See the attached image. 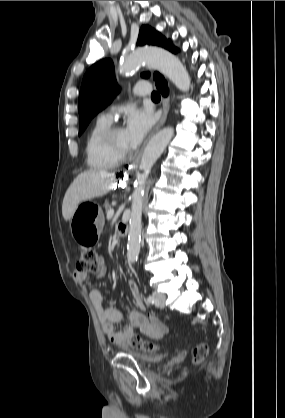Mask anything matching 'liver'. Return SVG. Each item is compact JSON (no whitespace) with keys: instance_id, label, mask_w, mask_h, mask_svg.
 I'll return each instance as SVG.
<instances>
[{"instance_id":"liver-1","label":"liver","mask_w":285,"mask_h":418,"mask_svg":"<svg viewBox=\"0 0 285 418\" xmlns=\"http://www.w3.org/2000/svg\"><path fill=\"white\" fill-rule=\"evenodd\" d=\"M114 182V174L105 170L90 169L79 174L65 193L62 203L63 218L70 220L82 201L105 195Z\"/></svg>"}]
</instances>
